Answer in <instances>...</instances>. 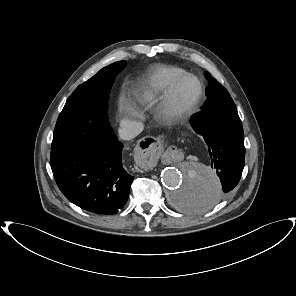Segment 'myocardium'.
Returning a JSON list of instances; mask_svg holds the SVG:
<instances>
[{
	"label": "myocardium",
	"instance_id": "obj_1",
	"mask_svg": "<svg viewBox=\"0 0 296 296\" xmlns=\"http://www.w3.org/2000/svg\"><path fill=\"white\" fill-rule=\"evenodd\" d=\"M191 78L196 81L198 85V94L195 99L188 105L179 107L174 102V93L178 85ZM204 96V85L202 81L194 74L185 73L176 78L164 91L160 106V112L163 118L170 122L181 121L190 116L198 107Z\"/></svg>",
	"mask_w": 296,
	"mask_h": 296
}]
</instances>
